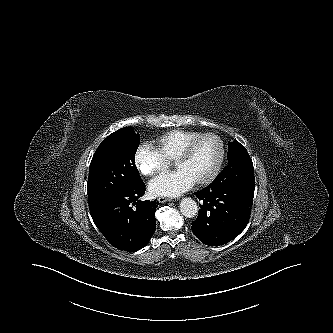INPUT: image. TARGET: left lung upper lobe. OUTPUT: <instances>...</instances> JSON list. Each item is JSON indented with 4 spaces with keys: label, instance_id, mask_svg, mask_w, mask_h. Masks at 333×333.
I'll use <instances>...</instances> for the list:
<instances>
[{
    "label": "left lung upper lobe",
    "instance_id": "1",
    "mask_svg": "<svg viewBox=\"0 0 333 333\" xmlns=\"http://www.w3.org/2000/svg\"><path fill=\"white\" fill-rule=\"evenodd\" d=\"M231 174L236 188L254 194L255 179L252 160L238 141L228 143V165L220 174Z\"/></svg>",
    "mask_w": 333,
    "mask_h": 333
}]
</instances>
